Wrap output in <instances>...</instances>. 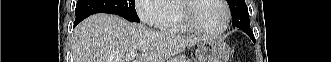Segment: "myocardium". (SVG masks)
<instances>
[{"label": "myocardium", "mask_w": 331, "mask_h": 62, "mask_svg": "<svg viewBox=\"0 0 331 62\" xmlns=\"http://www.w3.org/2000/svg\"><path fill=\"white\" fill-rule=\"evenodd\" d=\"M195 1L196 0L179 1L180 16H181V19H182V22L184 23V25L188 28L189 31H191L197 35H200V36L215 38V37H219L220 35H222L228 29L229 24H230V10H229V7H228L226 1L217 0L224 9V24L219 30L214 31V32H210V31H206V30L202 29L196 23L194 18L192 17L191 8Z\"/></svg>", "instance_id": "1"}]
</instances>
